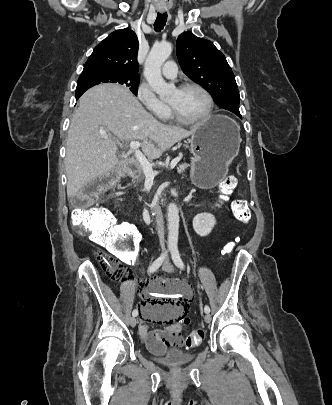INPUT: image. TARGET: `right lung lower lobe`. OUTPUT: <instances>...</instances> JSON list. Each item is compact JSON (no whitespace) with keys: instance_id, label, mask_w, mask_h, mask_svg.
Wrapping results in <instances>:
<instances>
[{"instance_id":"98d812e1","label":"right lung lower lobe","mask_w":332,"mask_h":405,"mask_svg":"<svg viewBox=\"0 0 332 405\" xmlns=\"http://www.w3.org/2000/svg\"><path fill=\"white\" fill-rule=\"evenodd\" d=\"M83 93H78L76 94V100L79 99V97L82 95Z\"/></svg>"}]
</instances>
